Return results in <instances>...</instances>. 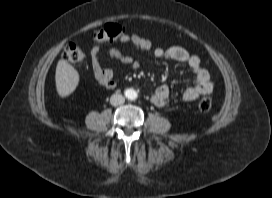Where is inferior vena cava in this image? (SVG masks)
<instances>
[{
    "mask_svg": "<svg viewBox=\"0 0 272 198\" xmlns=\"http://www.w3.org/2000/svg\"><path fill=\"white\" fill-rule=\"evenodd\" d=\"M125 102V98L124 96H122L121 94H113L110 98V103L113 106H118L121 105Z\"/></svg>",
    "mask_w": 272,
    "mask_h": 198,
    "instance_id": "1",
    "label": "inferior vena cava"
}]
</instances>
